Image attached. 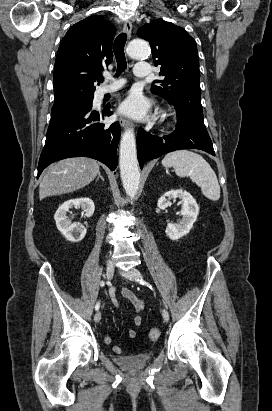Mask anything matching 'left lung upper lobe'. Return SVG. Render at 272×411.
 <instances>
[{
    "label": "left lung upper lobe",
    "mask_w": 272,
    "mask_h": 411,
    "mask_svg": "<svg viewBox=\"0 0 272 411\" xmlns=\"http://www.w3.org/2000/svg\"><path fill=\"white\" fill-rule=\"evenodd\" d=\"M138 36L147 40L162 79L151 92L162 96L177 111V117L203 119L200 102V72L197 45L185 29L162 19L142 26Z\"/></svg>",
    "instance_id": "obj_1"
}]
</instances>
